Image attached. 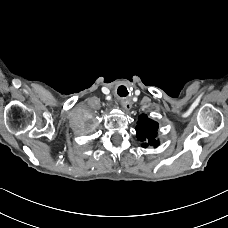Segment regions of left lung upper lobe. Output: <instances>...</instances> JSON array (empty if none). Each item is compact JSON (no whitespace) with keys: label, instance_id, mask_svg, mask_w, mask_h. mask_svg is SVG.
I'll list each match as a JSON object with an SVG mask.
<instances>
[{"label":"left lung upper lobe","instance_id":"5c2ea615","mask_svg":"<svg viewBox=\"0 0 228 228\" xmlns=\"http://www.w3.org/2000/svg\"><path fill=\"white\" fill-rule=\"evenodd\" d=\"M137 138L142 142L143 147L152 145L157 147L159 142L156 140L158 123L149 119L146 115H141L136 126Z\"/></svg>","mask_w":228,"mask_h":228}]
</instances>
